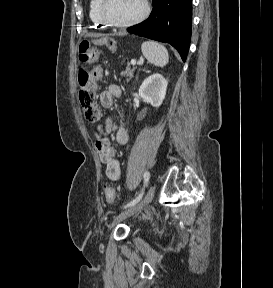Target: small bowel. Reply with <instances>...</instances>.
I'll list each match as a JSON object with an SVG mask.
<instances>
[{
    "mask_svg": "<svg viewBox=\"0 0 273 288\" xmlns=\"http://www.w3.org/2000/svg\"><path fill=\"white\" fill-rule=\"evenodd\" d=\"M121 93V88L118 85H109L99 96L100 104L105 108L111 107L114 98L120 97ZM112 130L113 120L111 117H108L104 123H98L95 128V147L104 164L106 176L112 181H118L121 178L120 164L116 157V152L108 139ZM115 138L119 144H126L129 140L127 130L124 127H119Z\"/></svg>",
    "mask_w": 273,
    "mask_h": 288,
    "instance_id": "1",
    "label": "small bowel"
}]
</instances>
